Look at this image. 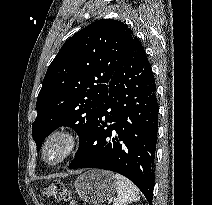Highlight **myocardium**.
I'll return each instance as SVG.
<instances>
[{
	"mask_svg": "<svg viewBox=\"0 0 212 205\" xmlns=\"http://www.w3.org/2000/svg\"><path fill=\"white\" fill-rule=\"evenodd\" d=\"M57 146L59 153L55 158L49 157V151L52 147ZM77 147L76 134L68 128H57L53 130L45 139L41 155L47 164L57 165L66 160Z\"/></svg>",
	"mask_w": 212,
	"mask_h": 205,
	"instance_id": "obj_1",
	"label": "myocardium"
}]
</instances>
